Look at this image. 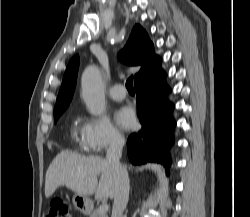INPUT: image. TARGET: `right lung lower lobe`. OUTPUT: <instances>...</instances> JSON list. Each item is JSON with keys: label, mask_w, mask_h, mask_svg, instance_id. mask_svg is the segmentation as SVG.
<instances>
[{"label": "right lung lower lobe", "mask_w": 250, "mask_h": 217, "mask_svg": "<svg viewBox=\"0 0 250 217\" xmlns=\"http://www.w3.org/2000/svg\"><path fill=\"white\" fill-rule=\"evenodd\" d=\"M137 115L142 128L127 140V152L133 164L158 162L167 170L172 161L169 149L174 143L176 125L172 117L174 105L167 100L170 89L159 59L148 71L135 80Z\"/></svg>", "instance_id": "1"}]
</instances>
